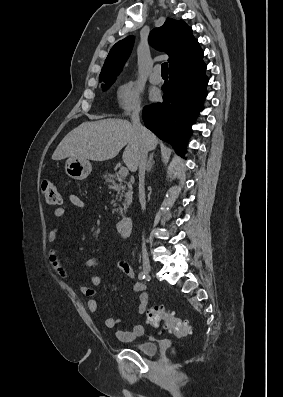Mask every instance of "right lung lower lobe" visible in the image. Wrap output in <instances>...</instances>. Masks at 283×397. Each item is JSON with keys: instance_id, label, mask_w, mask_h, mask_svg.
<instances>
[{"instance_id": "1", "label": "right lung lower lobe", "mask_w": 283, "mask_h": 397, "mask_svg": "<svg viewBox=\"0 0 283 397\" xmlns=\"http://www.w3.org/2000/svg\"><path fill=\"white\" fill-rule=\"evenodd\" d=\"M206 67L201 57L169 70V82L162 87L163 102L143 109L145 126L182 156L186 151V140L191 135V125L203 110L207 96L209 78L205 75Z\"/></svg>"}]
</instances>
